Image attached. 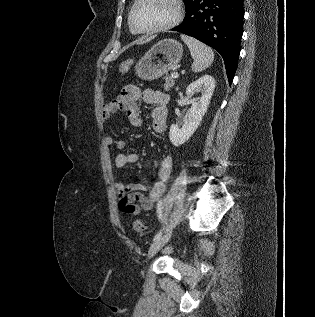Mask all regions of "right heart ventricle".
Segmentation results:
<instances>
[{
	"label": "right heart ventricle",
	"mask_w": 315,
	"mask_h": 317,
	"mask_svg": "<svg viewBox=\"0 0 315 317\" xmlns=\"http://www.w3.org/2000/svg\"><path fill=\"white\" fill-rule=\"evenodd\" d=\"M130 30H131L132 33H137V32H135V31L133 30V28L131 27V25H130Z\"/></svg>",
	"instance_id": "right-heart-ventricle-1"
}]
</instances>
